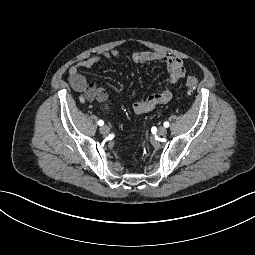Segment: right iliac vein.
<instances>
[{
	"label": "right iliac vein",
	"mask_w": 255,
	"mask_h": 255,
	"mask_svg": "<svg viewBox=\"0 0 255 255\" xmlns=\"http://www.w3.org/2000/svg\"><path fill=\"white\" fill-rule=\"evenodd\" d=\"M99 130L102 134H108L110 131V129L107 125L101 126Z\"/></svg>",
	"instance_id": "right-iliac-vein-1"
}]
</instances>
